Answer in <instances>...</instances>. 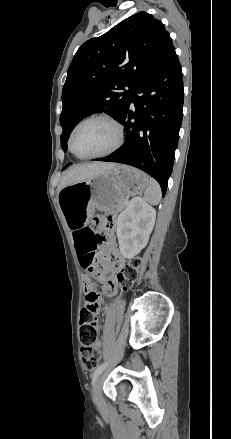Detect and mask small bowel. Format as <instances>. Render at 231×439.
Segmentation results:
<instances>
[{
    "label": "small bowel",
    "mask_w": 231,
    "mask_h": 439,
    "mask_svg": "<svg viewBox=\"0 0 231 439\" xmlns=\"http://www.w3.org/2000/svg\"><path fill=\"white\" fill-rule=\"evenodd\" d=\"M72 229L74 247L80 263L84 256L90 252H96L97 250L99 254L105 258L104 275L101 277L103 291L105 294L113 293L116 288V279L113 275L123 263V260L118 256L116 248L113 245V234L110 233L106 241L97 242L91 229L87 227H74ZM84 289L86 292L84 307L92 308L96 314H99L102 311V301L94 291V283L90 278L85 279ZM95 347L100 349L101 341H98Z\"/></svg>",
    "instance_id": "small-bowel-1"
}]
</instances>
